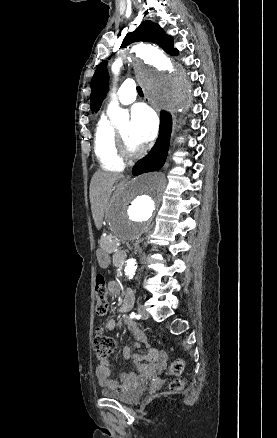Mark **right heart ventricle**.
<instances>
[{
	"mask_svg": "<svg viewBox=\"0 0 277 438\" xmlns=\"http://www.w3.org/2000/svg\"><path fill=\"white\" fill-rule=\"evenodd\" d=\"M113 135L114 128L107 114H104L99 120L95 130V153L103 169L121 172L124 169V161L115 148Z\"/></svg>",
	"mask_w": 277,
	"mask_h": 438,
	"instance_id": "e07e8e85",
	"label": "right heart ventricle"
}]
</instances>
